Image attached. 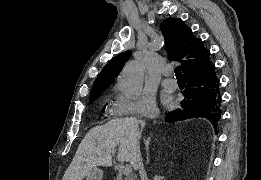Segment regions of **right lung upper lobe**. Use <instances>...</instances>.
<instances>
[{"instance_id": "1", "label": "right lung upper lobe", "mask_w": 261, "mask_h": 180, "mask_svg": "<svg viewBox=\"0 0 261 180\" xmlns=\"http://www.w3.org/2000/svg\"><path fill=\"white\" fill-rule=\"evenodd\" d=\"M160 29L165 37L169 59L180 61L183 73L210 61L209 50L203 46L201 39L193 36L192 30L181 19L167 18L162 22ZM130 56L131 52L126 51L106 64L93 85L90 98L101 95Z\"/></svg>"}]
</instances>
